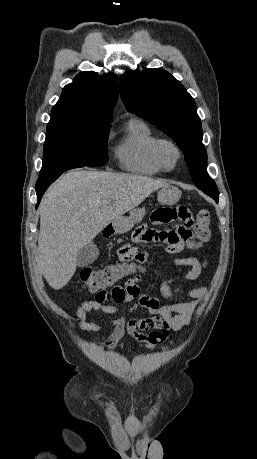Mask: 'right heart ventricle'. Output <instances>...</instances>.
I'll return each mask as SVG.
<instances>
[{
	"label": "right heart ventricle",
	"instance_id": "e07e8e85",
	"mask_svg": "<svg viewBox=\"0 0 257 459\" xmlns=\"http://www.w3.org/2000/svg\"><path fill=\"white\" fill-rule=\"evenodd\" d=\"M158 139L157 134L146 122L138 118L131 119L115 150L120 167L148 176L163 172L153 155V148Z\"/></svg>",
	"mask_w": 257,
	"mask_h": 459
}]
</instances>
